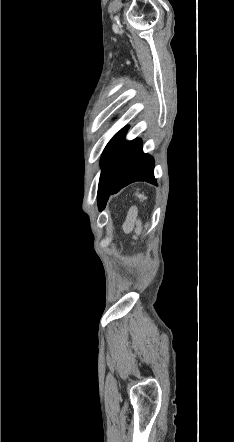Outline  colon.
<instances>
[{
	"label": "colon",
	"instance_id": "5ec220e1",
	"mask_svg": "<svg viewBox=\"0 0 234 442\" xmlns=\"http://www.w3.org/2000/svg\"><path fill=\"white\" fill-rule=\"evenodd\" d=\"M136 195H137V197H138L141 201H145V197H144V195H143L141 192L137 191V192H136Z\"/></svg>",
	"mask_w": 234,
	"mask_h": 442
}]
</instances>
